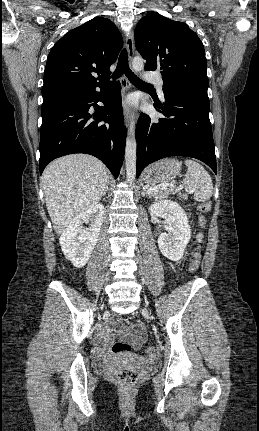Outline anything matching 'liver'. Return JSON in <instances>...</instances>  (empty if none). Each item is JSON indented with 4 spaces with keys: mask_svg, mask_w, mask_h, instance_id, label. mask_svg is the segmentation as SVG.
Here are the masks:
<instances>
[{
    "mask_svg": "<svg viewBox=\"0 0 259 431\" xmlns=\"http://www.w3.org/2000/svg\"><path fill=\"white\" fill-rule=\"evenodd\" d=\"M106 166L87 154L56 159L43 172L46 206L54 230L61 234L80 213L97 204L108 184Z\"/></svg>",
    "mask_w": 259,
    "mask_h": 431,
    "instance_id": "liver-1",
    "label": "liver"
}]
</instances>
